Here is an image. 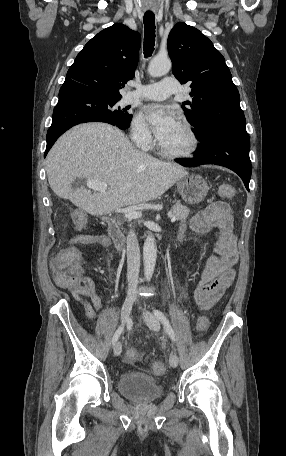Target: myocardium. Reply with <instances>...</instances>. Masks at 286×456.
Segmentation results:
<instances>
[{"mask_svg": "<svg viewBox=\"0 0 286 456\" xmlns=\"http://www.w3.org/2000/svg\"><path fill=\"white\" fill-rule=\"evenodd\" d=\"M179 125L188 134L191 143H190L189 148L183 152H171V151H168L167 149H165L162 146L161 142H159L158 143L159 152L163 156L170 158V159H183V158L192 157L197 152V150L199 149V146H200V138H199L196 130L193 128V126L187 122H180Z\"/></svg>", "mask_w": 286, "mask_h": 456, "instance_id": "1", "label": "myocardium"}]
</instances>
